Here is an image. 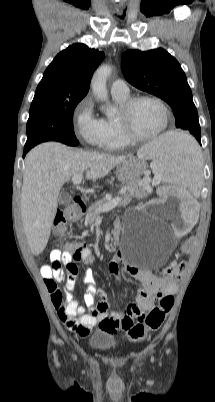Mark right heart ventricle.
Wrapping results in <instances>:
<instances>
[{
    "instance_id": "right-heart-ventricle-1",
    "label": "right heart ventricle",
    "mask_w": 215,
    "mask_h": 402,
    "mask_svg": "<svg viewBox=\"0 0 215 402\" xmlns=\"http://www.w3.org/2000/svg\"><path fill=\"white\" fill-rule=\"evenodd\" d=\"M113 98L115 102L118 104L119 108L123 106V104L130 98L128 95H117L113 94ZM105 128H106V135L104 141L102 143V147L107 150H117L122 149L129 145V141L124 137L119 121H118V114L115 116L107 117L103 119Z\"/></svg>"
}]
</instances>
